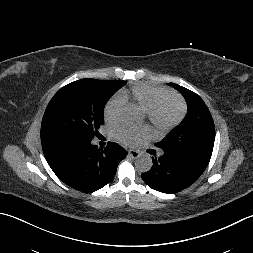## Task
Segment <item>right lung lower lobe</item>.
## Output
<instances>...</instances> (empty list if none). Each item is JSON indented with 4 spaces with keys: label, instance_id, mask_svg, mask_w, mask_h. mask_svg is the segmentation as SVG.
I'll return each instance as SVG.
<instances>
[{
    "label": "right lung lower lobe",
    "instance_id": "98d812e1",
    "mask_svg": "<svg viewBox=\"0 0 253 253\" xmlns=\"http://www.w3.org/2000/svg\"><path fill=\"white\" fill-rule=\"evenodd\" d=\"M42 148L56 176L68 186L85 193L94 192L111 182L119 162L127 154L114 142L98 149L91 141L51 140L42 143Z\"/></svg>",
    "mask_w": 253,
    "mask_h": 253
}]
</instances>
